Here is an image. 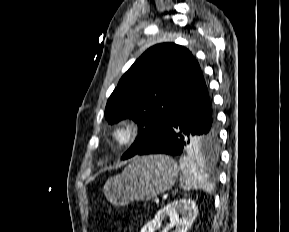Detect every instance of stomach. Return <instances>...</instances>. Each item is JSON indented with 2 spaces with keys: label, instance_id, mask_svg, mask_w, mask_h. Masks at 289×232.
Masks as SVG:
<instances>
[{
  "label": "stomach",
  "instance_id": "obj_1",
  "mask_svg": "<svg viewBox=\"0 0 289 232\" xmlns=\"http://www.w3.org/2000/svg\"><path fill=\"white\" fill-rule=\"evenodd\" d=\"M179 167L165 155L139 157L120 175L108 179L104 186L106 198L117 206L131 201H147L172 188Z\"/></svg>",
  "mask_w": 289,
  "mask_h": 232
}]
</instances>
